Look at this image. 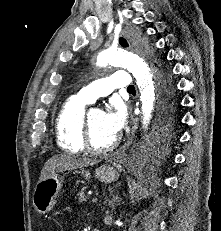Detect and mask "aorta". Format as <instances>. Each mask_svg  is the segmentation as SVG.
Segmentation results:
<instances>
[{
    "label": "aorta",
    "mask_w": 221,
    "mask_h": 231,
    "mask_svg": "<svg viewBox=\"0 0 221 231\" xmlns=\"http://www.w3.org/2000/svg\"><path fill=\"white\" fill-rule=\"evenodd\" d=\"M97 64H108L127 68L136 79L142 104L143 128H147L153 112L155 91L153 75L146 62L133 51L122 48H109L98 53Z\"/></svg>",
    "instance_id": "obj_1"
}]
</instances>
